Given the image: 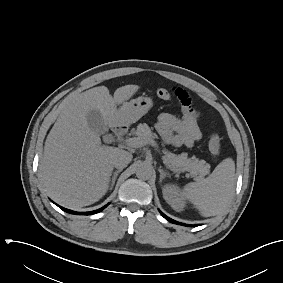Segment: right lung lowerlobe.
<instances>
[{
  "label": "right lung lower lobe",
  "instance_id": "98d812e1",
  "mask_svg": "<svg viewBox=\"0 0 283 283\" xmlns=\"http://www.w3.org/2000/svg\"><path fill=\"white\" fill-rule=\"evenodd\" d=\"M60 207V206H59ZM106 206L98 209V210H95V211H90V212H84V213H79V212H74V211H71V210H68V209H65L63 207H60L62 210L68 212V213H71V214H79V215H91V214H95V213H98L100 212L101 210H103Z\"/></svg>",
  "mask_w": 283,
  "mask_h": 283
}]
</instances>
